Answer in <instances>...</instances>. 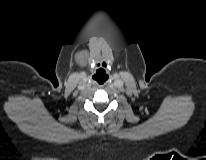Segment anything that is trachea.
<instances>
[{
	"mask_svg": "<svg viewBox=\"0 0 206 160\" xmlns=\"http://www.w3.org/2000/svg\"><path fill=\"white\" fill-rule=\"evenodd\" d=\"M93 78L100 84H102L106 79V72L103 71H97L96 75L93 76Z\"/></svg>",
	"mask_w": 206,
	"mask_h": 160,
	"instance_id": "3493384b",
	"label": "trachea"
}]
</instances>
